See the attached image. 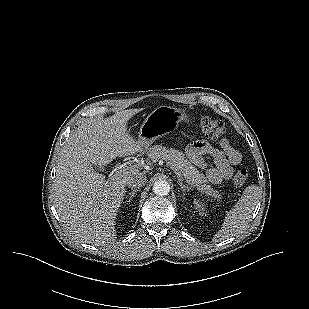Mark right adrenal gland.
Instances as JSON below:
<instances>
[{
  "label": "right adrenal gland",
  "mask_w": 309,
  "mask_h": 309,
  "mask_svg": "<svg viewBox=\"0 0 309 309\" xmlns=\"http://www.w3.org/2000/svg\"><path fill=\"white\" fill-rule=\"evenodd\" d=\"M139 191V188H134L131 192H129V194H128V202H130V200L135 196V194L137 193Z\"/></svg>",
  "instance_id": "1"
}]
</instances>
